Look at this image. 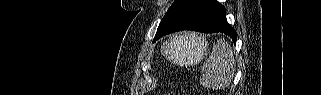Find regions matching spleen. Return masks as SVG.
Listing matches in <instances>:
<instances>
[{"mask_svg":"<svg viewBox=\"0 0 321 95\" xmlns=\"http://www.w3.org/2000/svg\"><path fill=\"white\" fill-rule=\"evenodd\" d=\"M204 71L200 84L213 89L227 87L234 77L235 59L230 44L225 40L217 41L202 67Z\"/></svg>","mask_w":321,"mask_h":95,"instance_id":"obj_1","label":"spleen"}]
</instances>
